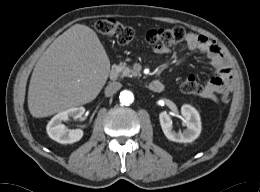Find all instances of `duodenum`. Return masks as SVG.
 <instances>
[{"label": "duodenum", "instance_id": "obj_1", "mask_svg": "<svg viewBox=\"0 0 260 192\" xmlns=\"http://www.w3.org/2000/svg\"><path fill=\"white\" fill-rule=\"evenodd\" d=\"M109 77L111 80H115L117 78V71L112 69L109 73ZM148 88L152 92H161L164 89V84L160 80H153L149 83Z\"/></svg>", "mask_w": 260, "mask_h": 192}]
</instances>
